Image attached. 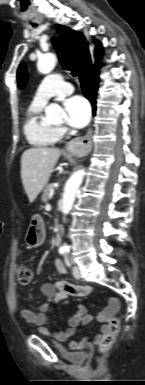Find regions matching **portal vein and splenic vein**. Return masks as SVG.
Returning a JSON list of instances; mask_svg holds the SVG:
<instances>
[{
  "label": "portal vein and splenic vein",
  "instance_id": "1",
  "mask_svg": "<svg viewBox=\"0 0 145 385\" xmlns=\"http://www.w3.org/2000/svg\"><path fill=\"white\" fill-rule=\"evenodd\" d=\"M51 208V205L50 204H47L46 205V209H50Z\"/></svg>",
  "mask_w": 145,
  "mask_h": 385
}]
</instances>
